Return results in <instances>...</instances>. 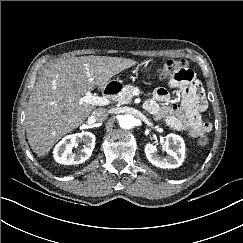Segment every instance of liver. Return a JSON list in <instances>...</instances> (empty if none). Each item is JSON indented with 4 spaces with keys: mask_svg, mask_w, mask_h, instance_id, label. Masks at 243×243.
Here are the masks:
<instances>
[{
    "mask_svg": "<svg viewBox=\"0 0 243 243\" xmlns=\"http://www.w3.org/2000/svg\"><path fill=\"white\" fill-rule=\"evenodd\" d=\"M135 64L134 60L107 57H72L51 64L40 75L26 108V133L31 149L46 155L54 144L79 127L95 109L80 103L86 91L103 90L109 80Z\"/></svg>",
    "mask_w": 243,
    "mask_h": 243,
    "instance_id": "1",
    "label": "liver"
}]
</instances>
